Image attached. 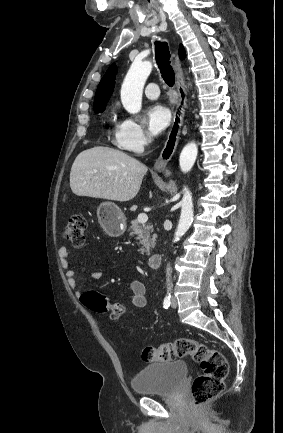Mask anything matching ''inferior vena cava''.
Listing matches in <instances>:
<instances>
[{
  "label": "inferior vena cava",
  "instance_id": "602c4592",
  "mask_svg": "<svg viewBox=\"0 0 283 433\" xmlns=\"http://www.w3.org/2000/svg\"><path fill=\"white\" fill-rule=\"evenodd\" d=\"M166 285H167L168 291H170V289L172 287V283H171V267H170V265H167V267H166Z\"/></svg>",
  "mask_w": 283,
  "mask_h": 433
}]
</instances>
